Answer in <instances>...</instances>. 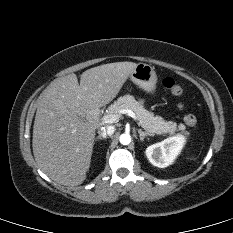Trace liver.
Masks as SVG:
<instances>
[{"label": "liver", "mask_w": 233, "mask_h": 233, "mask_svg": "<svg viewBox=\"0 0 233 233\" xmlns=\"http://www.w3.org/2000/svg\"><path fill=\"white\" fill-rule=\"evenodd\" d=\"M136 66L133 62L100 65L84 71L80 84L72 73L41 94L32 147L38 167L49 178L65 186L83 183L90 168L96 127L82 118L110 103Z\"/></svg>", "instance_id": "6515ba94"}]
</instances>
